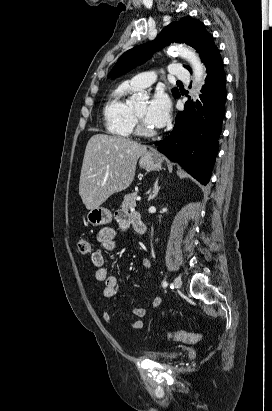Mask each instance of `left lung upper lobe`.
I'll return each instance as SVG.
<instances>
[{"mask_svg": "<svg viewBox=\"0 0 272 411\" xmlns=\"http://www.w3.org/2000/svg\"><path fill=\"white\" fill-rule=\"evenodd\" d=\"M171 42L186 43L199 53L201 61L206 62L210 54L217 48L212 35L206 31L205 26L191 17H184L167 25L154 41L134 47L125 52L116 62L107 78L115 79L136 66L147 61L152 54L161 47ZM190 72L191 69L185 66ZM174 98L180 96L179 90H172Z\"/></svg>", "mask_w": 272, "mask_h": 411, "instance_id": "obj_1", "label": "left lung upper lobe"}]
</instances>
